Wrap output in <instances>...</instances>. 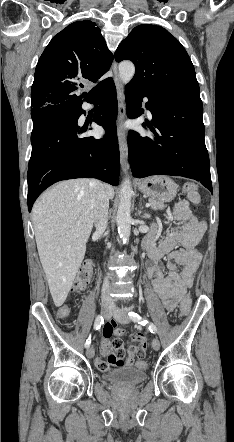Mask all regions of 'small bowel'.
I'll return each mask as SVG.
<instances>
[{
	"label": "small bowel",
	"mask_w": 234,
	"mask_h": 442,
	"mask_svg": "<svg viewBox=\"0 0 234 442\" xmlns=\"http://www.w3.org/2000/svg\"><path fill=\"white\" fill-rule=\"evenodd\" d=\"M198 205V196L188 197L177 203L173 217L179 222V226L171 231L159 245H156L155 238L159 231V224L153 223L145 241L149 257L146 263V277L151 280L154 291L160 296L169 312H172L178 304L183 302L185 293L192 286L195 273L200 266L201 254L198 245L206 230V222L194 214L193 210ZM179 245L180 248H178ZM162 259L166 260L168 274L164 272ZM176 264L182 267L181 271L177 270ZM104 326V338L101 342L103 353L106 350L123 348L121 336L125 333V329L117 326L113 319H106ZM145 341L146 337L141 333L134 334L129 338L130 344L126 350L127 359L125 362L123 361L122 366L137 365L138 361L135 362V355L140 360L145 359V349L148 347ZM135 342H138L137 347L133 345Z\"/></svg>",
	"instance_id": "c3829d8e"
}]
</instances>
